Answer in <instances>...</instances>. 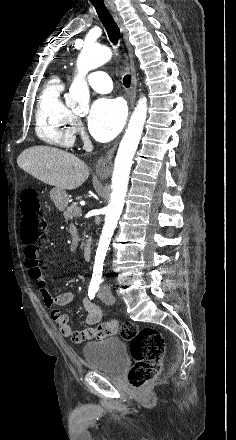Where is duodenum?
Returning a JSON list of instances; mask_svg holds the SVG:
<instances>
[{
  "mask_svg": "<svg viewBox=\"0 0 236 440\" xmlns=\"http://www.w3.org/2000/svg\"><path fill=\"white\" fill-rule=\"evenodd\" d=\"M92 255V244L90 240H86L83 247V259L84 261H88Z\"/></svg>",
  "mask_w": 236,
  "mask_h": 440,
  "instance_id": "1",
  "label": "duodenum"
}]
</instances>
